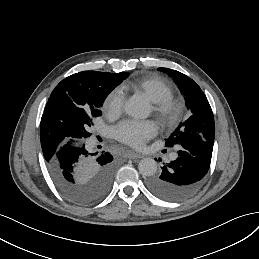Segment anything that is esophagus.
I'll use <instances>...</instances> for the list:
<instances>
[{"mask_svg": "<svg viewBox=\"0 0 259 259\" xmlns=\"http://www.w3.org/2000/svg\"><path fill=\"white\" fill-rule=\"evenodd\" d=\"M127 158L129 159H138L141 158L142 156L132 150H129L126 154Z\"/></svg>", "mask_w": 259, "mask_h": 259, "instance_id": "1", "label": "esophagus"}]
</instances>
